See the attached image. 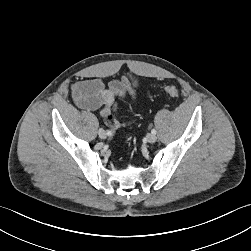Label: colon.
Masks as SVG:
<instances>
[{
	"instance_id": "5ec220e1",
	"label": "colon",
	"mask_w": 251,
	"mask_h": 251,
	"mask_svg": "<svg viewBox=\"0 0 251 251\" xmlns=\"http://www.w3.org/2000/svg\"><path fill=\"white\" fill-rule=\"evenodd\" d=\"M164 91H165L166 94H168L171 97L177 98L179 96V91L174 86H165ZM107 120L109 122H111L113 120V114L112 113L107 114Z\"/></svg>"
}]
</instances>
